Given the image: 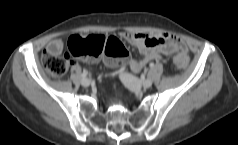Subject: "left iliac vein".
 Listing matches in <instances>:
<instances>
[{"label": "left iliac vein", "mask_w": 238, "mask_h": 145, "mask_svg": "<svg viewBox=\"0 0 238 145\" xmlns=\"http://www.w3.org/2000/svg\"><path fill=\"white\" fill-rule=\"evenodd\" d=\"M121 80L127 87H129L133 90H137L140 87L146 89V88H150L152 86L151 79H145L143 81H140L136 77H134L130 74H127V73H124L121 75Z\"/></svg>", "instance_id": "obj_1"}]
</instances>
